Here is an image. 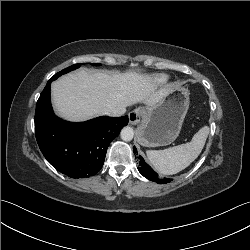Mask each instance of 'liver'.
I'll return each mask as SVG.
<instances>
[{
	"mask_svg": "<svg viewBox=\"0 0 250 250\" xmlns=\"http://www.w3.org/2000/svg\"><path fill=\"white\" fill-rule=\"evenodd\" d=\"M176 86L158 89L152 79L136 72H91L81 69L53 82L52 101L57 114L69 121H84L142 102L148 107L159 103Z\"/></svg>",
	"mask_w": 250,
	"mask_h": 250,
	"instance_id": "liver-1",
	"label": "liver"
}]
</instances>
